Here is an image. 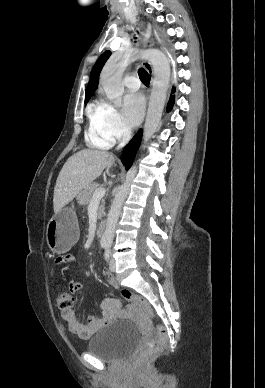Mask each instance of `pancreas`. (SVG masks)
<instances>
[{
	"label": "pancreas",
	"mask_w": 265,
	"mask_h": 388,
	"mask_svg": "<svg viewBox=\"0 0 265 388\" xmlns=\"http://www.w3.org/2000/svg\"><path fill=\"white\" fill-rule=\"evenodd\" d=\"M99 186L100 184H96V182H92V184H88V186H85V188H83V190H81L80 194H78L77 196L78 204H80V206H88L94 194V190H97ZM104 206L105 200H102V204H100L98 208V218H103L105 214Z\"/></svg>",
	"instance_id": "1"
}]
</instances>
